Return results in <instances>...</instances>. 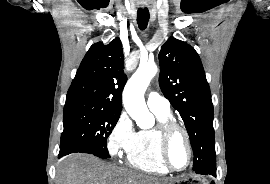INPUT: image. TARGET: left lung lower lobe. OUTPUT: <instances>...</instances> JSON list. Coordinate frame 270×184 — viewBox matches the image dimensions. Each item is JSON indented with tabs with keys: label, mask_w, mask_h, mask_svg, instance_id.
<instances>
[{
	"label": "left lung lower lobe",
	"mask_w": 270,
	"mask_h": 184,
	"mask_svg": "<svg viewBox=\"0 0 270 184\" xmlns=\"http://www.w3.org/2000/svg\"><path fill=\"white\" fill-rule=\"evenodd\" d=\"M198 174H211V175H213V176H216V169L215 170H207V171H202V172H200V173H198Z\"/></svg>",
	"instance_id": "left-lung-lower-lobe-1"
}]
</instances>
